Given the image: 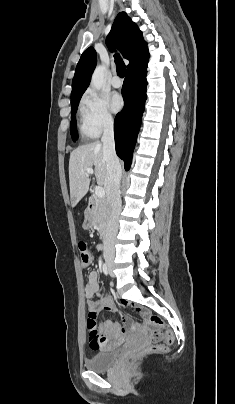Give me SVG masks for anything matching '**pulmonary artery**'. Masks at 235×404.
I'll list each match as a JSON object with an SVG mask.
<instances>
[{
  "instance_id": "1",
  "label": "pulmonary artery",
  "mask_w": 235,
  "mask_h": 404,
  "mask_svg": "<svg viewBox=\"0 0 235 404\" xmlns=\"http://www.w3.org/2000/svg\"><path fill=\"white\" fill-rule=\"evenodd\" d=\"M111 85H112L114 88H120L121 85H122V82H121V80H120L117 76H114V77L112 78V80H111Z\"/></svg>"
}]
</instances>
